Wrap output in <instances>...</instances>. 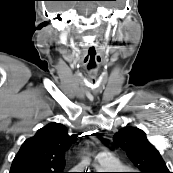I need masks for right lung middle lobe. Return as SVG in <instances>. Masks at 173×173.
I'll return each mask as SVG.
<instances>
[{
	"mask_svg": "<svg viewBox=\"0 0 173 173\" xmlns=\"http://www.w3.org/2000/svg\"><path fill=\"white\" fill-rule=\"evenodd\" d=\"M18 173H29V171H18Z\"/></svg>",
	"mask_w": 173,
	"mask_h": 173,
	"instance_id": "1",
	"label": "right lung middle lobe"
}]
</instances>
